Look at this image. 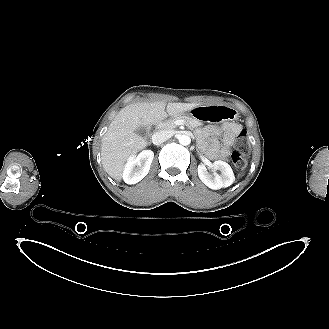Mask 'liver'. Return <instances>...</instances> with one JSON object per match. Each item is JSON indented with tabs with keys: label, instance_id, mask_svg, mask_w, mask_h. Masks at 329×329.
<instances>
[{
	"label": "liver",
	"instance_id": "liver-1",
	"mask_svg": "<svg viewBox=\"0 0 329 329\" xmlns=\"http://www.w3.org/2000/svg\"><path fill=\"white\" fill-rule=\"evenodd\" d=\"M197 106L199 103L170 102L166 106L163 101H155L134 103L121 109L102 138L101 154L104 170L113 179L120 181L128 158L148 145L147 141L135 132L139 127L156 124L168 115L180 116Z\"/></svg>",
	"mask_w": 329,
	"mask_h": 329
}]
</instances>
